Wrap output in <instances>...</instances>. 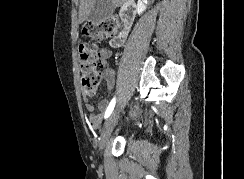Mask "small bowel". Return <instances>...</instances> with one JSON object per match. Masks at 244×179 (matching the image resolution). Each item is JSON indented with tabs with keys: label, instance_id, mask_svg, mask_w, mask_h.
Returning a JSON list of instances; mask_svg holds the SVG:
<instances>
[{
	"label": "small bowel",
	"instance_id": "obj_1",
	"mask_svg": "<svg viewBox=\"0 0 244 179\" xmlns=\"http://www.w3.org/2000/svg\"><path fill=\"white\" fill-rule=\"evenodd\" d=\"M124 41V38L121 35H117L112 38L110 46L111 48L119 47ZM111 48H101L98 51L100 58L104 61L109 59L112 56V49ZM103 78L107 84V89L111 92L115 86V71L109 65L105 64L103 67ZM85 107L88 112H90V116L88 118V124L91 128H98L101 124L103 118V111L108 107V100L103 99L99 103V107L101 112L95 113L94 106L92 103L89 102L88 98L84 97Z\"/></svg>",
	"mask_w": 244,
	"mask_h": 179
}]
</instances>
